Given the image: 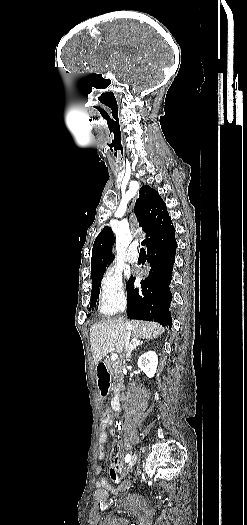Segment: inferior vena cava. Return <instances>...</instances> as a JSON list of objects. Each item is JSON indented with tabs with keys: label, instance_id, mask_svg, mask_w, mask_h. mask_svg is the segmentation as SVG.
<instances>
[{
	"label": "inferior vena cava",
	"instance_id": "obj_1",
	"mask_svg": "<svg viewBox=\"0 0 247 525\" xmlns=\"http://www.w3.org/2000/svg\"><path fill=\"white\" fill-rule=\"evenodd\" d=\"M121 313H126V305H121V309H120ZM130 331L128 329L127 333H125L124 335V355H125V351H126V357H128V351H129V339H130ZM123 355V357H124Z\"/></svg>",
	"mask_w": 247,
	"mask_h": 525
}]
</instances>
